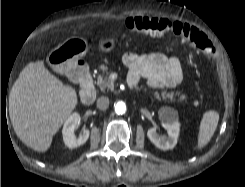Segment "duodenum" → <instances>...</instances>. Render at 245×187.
<instances>
[{
  "mask_svg": "<svg viewBox=\"0 0 245 187\" xmlns=\"http://www.w3.org/2000/svg\"><path fill=\"white\" fill-rule=\"evenodd\" d=\"M72 76L74 79L80 81L82 84V89L80 92V100L82 101V103L84 104L92 103L96 98L97 89L85 64L79 63L73 69Z\"/></svg>",
  "mask_w": 245,
  "mask_h": 187,
  "instance_id": "410a0bca",
  "label": "duodenum"
}]
</instances>
